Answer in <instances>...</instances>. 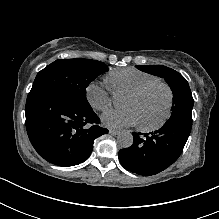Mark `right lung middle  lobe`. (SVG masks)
<instances>
[{
  "instance_id": "obj_1",
  "label": "right lung middle lobe",
  "mask_w": 219,
  "mask_h": 219,
  "mask_svg": "<svg viewBox=\"0 0 219 219\" xmlns=\"http://www.w3.org/2000/svg\"><path fill=\"white\" fill-rule=\"evenodd\" d=\"M107 70V65L96 60L59 59L37 74L31 91H54L70 97L82 106L89 107L86 87Z\"/></svg>"
}]
</instances>
